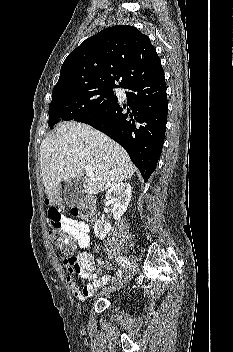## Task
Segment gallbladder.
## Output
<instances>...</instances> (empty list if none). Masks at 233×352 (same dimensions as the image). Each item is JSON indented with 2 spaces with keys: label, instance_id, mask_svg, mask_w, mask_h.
<instances>
[{
  "label": "gallbladder",
  "instance_id": "obj_1",
  "mask_svg": "<svg viewBox=\"0 0 233 352\" xmlns=\"http://www.w3.org/2000/svg\"><path fill=\"white\" fill-rule=\"evenodd\" d=\"M64 200L69 207L78 205L83 196L82 179H72L65 183L63 190Z\"/></svg>",
  "mask_w": 233,
  "mask_h": 352
}]
</instances>
